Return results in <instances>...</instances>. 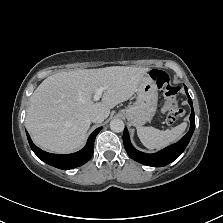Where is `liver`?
<instances>
[{"mask_svg":"<svg viewBox=\"0 0 223 223\" xmlns=\"http://www.w3.org/2000/svg\"><path fill=\"white\" fill-rule=\"evenodd\" d=\"M149 68L112 66L60 72L47 77L30 97L25 126L33 142L54 153L80 149L90 128V113L107 118L110 109L127 101ZM106 87L102 102L91 98Z\"/></svg>","mask_w":223,"mask_h":223,"instance_id":"1","label":"liver"}]
</instances>
